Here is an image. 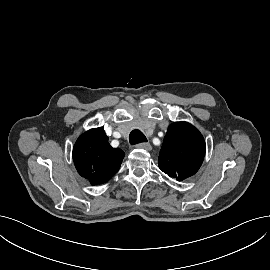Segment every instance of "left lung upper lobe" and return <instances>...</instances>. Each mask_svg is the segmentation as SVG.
Listing matches in <instances>:
<instances>
[{
	"label": "left lung upper lobe",
	"instance_id": "1",
	"mask_svg": "<svg viewBox=\"0 0 270 270\" xmlns=\"http://www.w3.org/2000/svg\"><path fill=\"white\" fill-rule=\"evenodd\" d=\"M201 133L187 122L169 125L159 155V168L168 176L182 181L200 168L205 156Z\"/></svg>",
	"mask_w": 270,
	"mask_h": 270
}]
</instances>
